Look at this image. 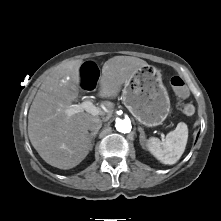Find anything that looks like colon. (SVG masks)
Listing matches in <instances>:
<instances>
[{"mask_svg": "<svg viewBox=\"0 0 221 221\" xmlns=\"http://www.w3.org/2000/svg\"><path fill=\"white\" fill-rule=\"evenodd\" d=\"M100 72V66L97 61L88 59L84 61L76 72L77 83L76 88L79 93L88 95L92 93L96 86V78ZM173 91L180 97L187 95V88L184 80L180 76H173L170 80ZM195 108L192 104L186 103L182 106V112L186 116L194 114Z\"/></svg>", "mask_w": 221, "mask_h": 221, "instance_id": "5ec220e1", "label": "colon"}]
</instances>
